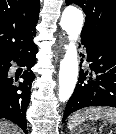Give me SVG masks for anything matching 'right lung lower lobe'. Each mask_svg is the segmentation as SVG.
<instances>
[{
  "mask_svg": "<svg viewBox=\"0 0 116 134\" xmlns=\"http://www.w3.org/2000/svg\"><path fill=\"white\" fill-rule=\"evenodd\" d=\"M36 53L37 47L32 41L4 60L7 72L11 66V61L26 67L21 76L24 81L20 82L19 85L15 84L13 78L7 76L0 80V118L14 122L24 132L27 128L25 113L30 102L31 84L35 78L31 67L36 61Z\"/></svg>",
  "mask_w": 116,
  "mask_h": 134,
  "instance_id": "1",
  "label": "right lung lower lobe"
}]
</instances>
